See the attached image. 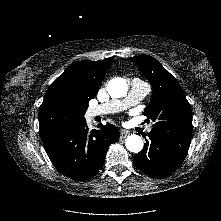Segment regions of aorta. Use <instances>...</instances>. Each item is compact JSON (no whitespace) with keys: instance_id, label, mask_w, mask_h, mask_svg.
<instances>
[{"instance_id":"aorta-1","label":"aorta","mask_w":221,"mask_h":221,"mask_svg":"<svg viewBox=\"0 0 221 221\" xmlns=\"http://www.w3.org/2000/svg\"><path fill=\"white\" fill-rule=\"evenodd\" d=\"M107 91L111 97L121 98L127 94L128 84L124 78H113L107 84ZM126 148L130 152L138 153L143 148V140L139 135H130L125 141Z\"/></svg>"}]
</instances>
